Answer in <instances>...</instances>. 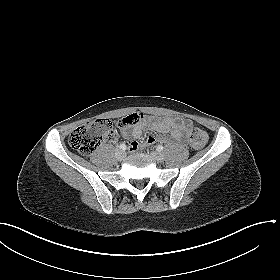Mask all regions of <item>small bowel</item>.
<instances>
[{"label":"small bowel","instance_id":"small-bowel-1","mask_svg":"<svg viewBox=\"0 0 280 280\" xmlns=\"http://www.w3.org/2000/svg\"><path fill=\"white\" fill-rule=\"evenodd\" d=\"M191 127L192 122L188 119L178 117L160 119L153 116H144L138 123L133 125L131 129L125 127L120 135L125 138L137 139L142 136L144 128H149L158 132H169L175 139L180 140ZM156 142L157 138L150 134L147 136L142 146H152Z\"/></svg>","mask_w":280,"mask_h":280}]
</instances>
